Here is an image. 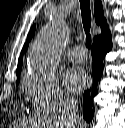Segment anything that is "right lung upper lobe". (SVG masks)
<instances>
[{"label": "right lung upper lobe", "mask_w": 125, "mask_h": 128, "mask_svg": "<svg viewBox=\"0 0 125 128\" xmlns=\"http://www.w3.org/2000/svg\"><path fill=\"white\" fill-rule=\"evenodd\" d=\"M94 14H95V21L98 25L101 26V33H103L105 30L108 29V25H107L106 19L104 18L103 7H102V3H101L100 0L95 1ZM34 33H35V25L32 26V28H31L28 36H27L26 43L24 44V47L22 49V53H21L20 61L18 63L16 74L20 73V70H21V67H22V55L27 50L29 41L31 40Z\"/></svg>", "instance_id": "obj_1"}]
</instances>
